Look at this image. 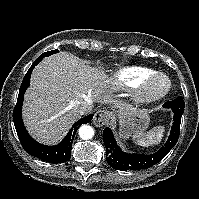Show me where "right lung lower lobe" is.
Returning a JSON list of instances; mask_svg holds the SVG:
<instances>
[{
    "instance_id": "98d812e1",
    "label": "right lung lower lobe",
    "mask_w": 199,
    "mask_h": 199,
    "mask_svg": "<svg viewBox=\"0 0 199 199\" xmlns=\"http://www.w3.org/2000/svg\"><path fill=\"white\" fill-rule=\"evenodd\" d=\"M42 59L38 57L32 66L27 71L26 75L23 78L22 84L20 86L17 104L13 110V121L15 125L16 132L20 139L21 145L24 150L39 159L47 161L49 163H64L68 161L71 157V148L74 136L76 134L77 129L80 125L84 123H88L92 120L93 115L86 116L80 120H78L70 129L66 137L62 140V142L56 146H45L38 142H36L27 132L25 126L22 121V104H23V96L26 89L30 85V76L32 70Z\"/></svg>"
}]
</instances>
